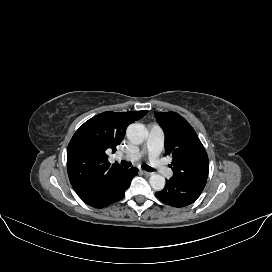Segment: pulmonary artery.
I'll list each match as a JSON object with an SVG mask.
<instances>
[{"label": "pulmonary artery", "instance_id": "1", "mask_svg": "<svg viewBox=\"0 0 272 272\" xmlns=\"http://www.w3.org/2000/svg\"><path fill=\"white\" fill-rule=\"evenodd\" d=\"M164 147V133L162 129L156 125L149 127L147 140L141 150L125 155L124 157L130 160H139L143 155L147 154L150 164L158 170L163 176L170 178L173 176V171L168 168L160 159L159 155Z\"/></svg>", "mask_w": 272, "mask_h": 272}]
</instances>
